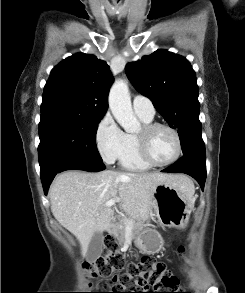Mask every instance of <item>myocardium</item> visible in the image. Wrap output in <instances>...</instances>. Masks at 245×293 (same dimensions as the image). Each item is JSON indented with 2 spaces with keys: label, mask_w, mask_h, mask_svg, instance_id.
Masks as SVG:
<instances>
[{
  "label": "myocardium",
  "mask_w": 245,
  "mask_h": 293,
  "mask_svg": "<svg viewBox=\"0 0 245 293\" xmlns=\"http://www.w3.org/2000/svg\"><path fill=\"white\" fill-rule=\"evenodd\" d=\"M158 128H165L168 131H170L174 136L175 144H176V151L174 156L170 160L163 163L155 162L149 155V151H148V138L150 134ZM136 142H137V151L140 158L151 167L160 168V167L169 166L175 163L179 159L182 152V141L178 131L171 125L165 124V123L151 122L149 124H144L141 129V132L139 134H136Z\"/></svg>",
  "instance_id": "myocardium-1"
}]
</instances>
